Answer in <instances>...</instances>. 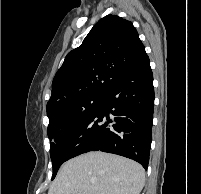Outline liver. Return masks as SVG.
<instances>
[{
    "mask_svg": "<svg viewBox=\"0 0 201 194\" xmlns=\"http://www.w3.org/2000/svg\"><path fill=\"white\" fill-rule=\"evenodd\" d=\"M144 183L140 164L96 151L64 163L48 194H140Z\"/></svg>",
    "mask_w": 201,
    "mask_h": 194,
    "instance_id": "1",
    "label": "liver"
}]
</instances>
